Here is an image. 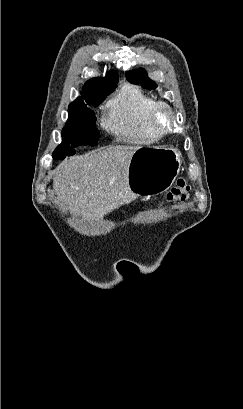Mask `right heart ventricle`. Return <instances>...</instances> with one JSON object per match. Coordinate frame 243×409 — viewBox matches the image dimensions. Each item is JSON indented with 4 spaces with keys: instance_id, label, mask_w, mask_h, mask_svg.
Here are the masks:
<instances>
[{
    "instance_id": "right-heart-ventricle-1",
    "label": "right heart ventricle",
    "mask_w": 243,
    "mask_h": 409,
    "mask_svg": "<svg viewBox=\"0 0 243 409\" xmlns=\"http://www.w3.org/2000/svg\"><path fill=\"white\" fill-rule=\"evenodd\" d=\"M155 102L139 87L125 84L108 101L104 126L120 140L152 144L159 138L149 123V113Z\"/></svg>"
}]
</instances>
